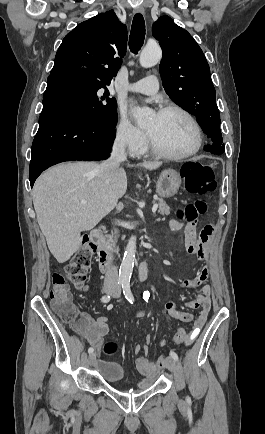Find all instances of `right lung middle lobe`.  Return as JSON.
Masks as SVG:
<instances>
[{
  "label": "right lung middle lobe",
  "instance_id": "right-lung-middle-lobe-1",
  "mask_svg": "<svg viewBox=\"0 0 265 434\" xmlns=\"http://www.w3.org/2000/svg\"><path fill=\"white\" fill-rule=\"evenodd\" d=\"M109 84L110 82L85 75L62 74L48 77L43 102H61L92 124L114 128L117 103L114 98L108 97L106 85Z\"/></svg>",
  "mask_w": 265,
  "mask_h": 434
}]
</instances>
